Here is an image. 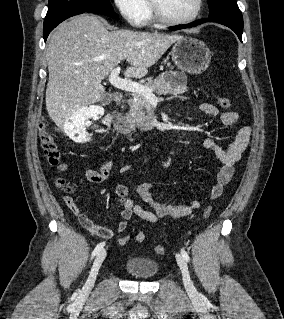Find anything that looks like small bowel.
Here are the masks:
<instances>
[{"label": "small bowel", "instance_id": "c3829d8e", "mask_svg": "<svg viewBox=\"0 0 284 319\" xmlns=\"http://www.w3.org/2000/svg\"><path fill=\"white\" fill-rule=\"evenodd\" d=\"M200 110L209 116H219L223 125L227 127L234 126L238 121L236 112L220 113L216 106L211 103H202ZM251 136L249 127H241L237 130L233 142L228 147H223L211 138L203 141L205 149L213 152L222 163V167L217 174L215 184L208 190L206 195L201 199L193 200L189 205H166L158 202L149 183H143L138 186V194L141 199L150 207L143 208L128 197V188L125 185L116 187V195L120 206L121 220L115 229H109L96 225L86 213H84L69 195L63 197L66 206L77 216L80 224L92 235L100 238H111L116 233H122L128 221L132 216H137L149 223H156L162 218H181L192 213L197 209L202 200H215L223 192L224 187L231 181L234 174V166L241 159L245 152ZM68 163H61L57 170L59 172L67 170ZM86 179L92 183H102L109 178L108 170L95 171L89 167L84 169Z\"/></svg>", "mask_w": 284, "mask_h": 319}]
</instances>
